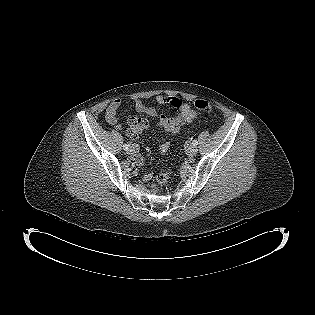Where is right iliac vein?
Listing matches in <instances>:
<instances>
[{
	"label": "right iliac vein",
	"mask_w": 315,
	"mask_h": 315,
	"mask_svg": "<svg viewBox=\"0 0 315 315\" xmlns=\"http://www.w3.org/2000/svg\"><path fill=\"white\" fill-rule=\"evenodd\" d=\"M127 151H128L129 154H132L134 152L133 146H131Z\"/></svg>",
	"instance_id": "right-iliac-vein-1"
}]
</instances>
